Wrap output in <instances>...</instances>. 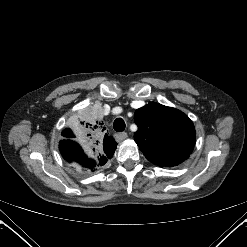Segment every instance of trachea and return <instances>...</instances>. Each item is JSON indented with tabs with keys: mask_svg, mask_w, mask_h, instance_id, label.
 Here are the masks:
<instances>
[{
	"mask_svg": "<svg viewBox=\"0 0 247 247\" xmlns=\"http://www.w3.org/2000/svg\"><path fill=\"white\" fill-rule=\"evenodd\" d=\"M125 126V122L122 118L115 119L113 123V127L116 132H123L125 130Z\"/></svg>",
	"mask_w": 247,
	"mask_h": 247,
	"instance_id": "3493384b",
	"label": "trachea"
}]
</instances>
